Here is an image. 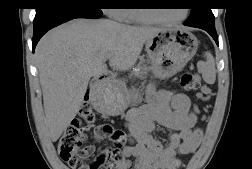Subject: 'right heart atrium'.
I'll return each instance as SVG.
<instances>
[{"instance_id":"d8ad5b80","label":"right heart atrium","mask_w":252,"mask_h":169,"mask_svg":"<svg viewBox=\"0 0 252 169\" xmlns=\"http://www.w3.org/2000/svg\"><path fill=\"white\" fill-rule=\"evenodd\" d=\"M124 9L114 8V9H106L107 15L115 20H122V13Z\"/></svg>"}]
</instances>
